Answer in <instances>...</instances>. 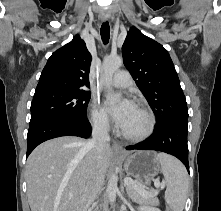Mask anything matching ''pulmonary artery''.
Listing matches in <instances>:
<instances>
[{
    "label": "pulmonary artery",
    "instance_id": "1",
    "mask_svg": "<svg viewBox=\"0 0 221 211\" xmlns=\"http://www.w3.org/2000/svg\"><path fill=\"white\" fill-rule=\"evenodd\" d=\"M111 83L115 87L126 88L132 85L131 75L126 70L118 71L112 78Z\"/></svg>",
    "mask_w": 221,
    "mask_h": 211
}]
</instances>
